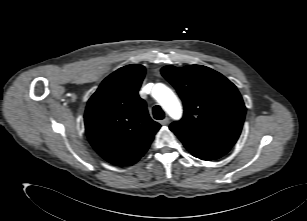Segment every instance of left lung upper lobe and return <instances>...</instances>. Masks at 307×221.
Masks as SVG:
<instances>
[{
  "label": "left lung upper lobe",
  "mask_w": 307,
  "mask_h": 221,
  "mask_svg": "<svg viewBox=\"0 0 307 221\" xmlns=\"http://www.w3.org/2000/svg\"><path fill=\"white\" fill-rule=\"evenodd\" d=\"M161 73L184 104L182 119L173 122L170 130L180 140L231 148L240 136L246 113L236 86L202 65L165 66Z\"/></svg>",
  "instance_id": "5c2ea615"
}]
</instances>
